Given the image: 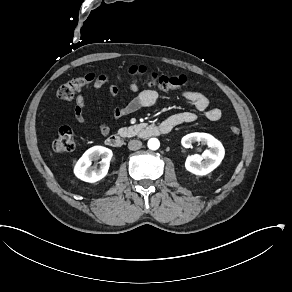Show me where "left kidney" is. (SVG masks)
I'll list each match as a JSON object with an SVG mask.
<instances>
[{
    "label": "left kidney",
    "mask_w": 292,
    "mask_h": 292,
    "mask_svg": "<svg viewBox=\"0 0 292 292\" xmlns=\"http://www.w3.org/2000/svg\"><path fill=\"white\" fill-rule=\"evenodd\" d=\"M194 142H200L210 149L204 151L202 156L194 155L187 158L185 169L194 175L205 176L221 164L225 156V150L218 139L207 133H190L181 140V144L185 148H191ZM202 157L205 160L201 163Z\"/></svg>",
    "instance_id": "1"
}]
</instances>
